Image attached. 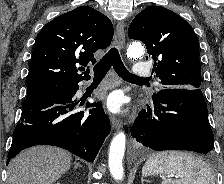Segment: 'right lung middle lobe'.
Segmentation results:
<instances>
[{
  "mask_svg": "<svg viewBox=\"0 0 224 184\" xmlns=\"http://www.w3.org/2000/svg\"><path fill=\"white\" fill-rule=\"evenodd\" d=\"M56 86H49V85H34V86H27V97L33 94L54 88Z\"/></svg>",
  "mask_w": 224,
  "mask_h": 184,
  "instance_id": "obj_1",
  "label": "right lung middle lobe"
}]
</instances>
